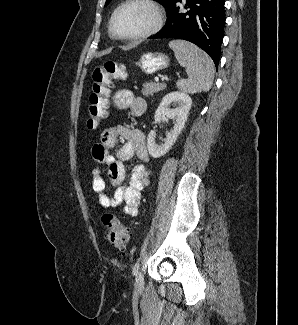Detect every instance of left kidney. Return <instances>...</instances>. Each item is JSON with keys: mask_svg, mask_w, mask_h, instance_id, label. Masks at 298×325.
Listing matches in <instances>:
<instances>
[{"mask_svg": "<svg viewBox=\"0 0 298 325\" xmlns=\"http://www.w3.org/2000/svg\"><path fill=\"white\" fill-rule=\"evenodd\" d=\"M192 98L186 92H179V90H172L167 92L163 96L159 106H157L154 114L155 122H160L162 118H172L174 120L173 128L170 132H166V138H164V144H156V130H150L147 136V146L149 154L153 158H159L168 152L169 148L173 146L175 140H177L178 134H180L184 124L188 118L189 110L191 108ZM174 106V108H170ZM157 124L153 126L156 128Z\"/></svg>", "mask_w": 298, "mask_h": 325, "instance_id": "left-kidney-1", "label": "left kidney"}]
</instances>
